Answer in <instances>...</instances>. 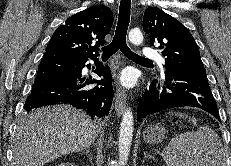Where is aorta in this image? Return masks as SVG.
<instances>
[{
	"instance_id": "obj_1",
	"label": "aorta",
	"mask_w": 231,
	"mask_h": 166,
	"mask_svg": "<svg viewBox=\"0 0 231 166\" xmlns=\"http://www.w3.org/2000/svg\"><path fill=\"white\" fill-rule=\"evenodd\" d=\"M129 41L134 45L143 42V35L140 30L133 29L129 32ZM134 130V117L130 109H127L122 117L119 131V161L121 165L127 163Z\"/></svg>"
}]
</instances>
